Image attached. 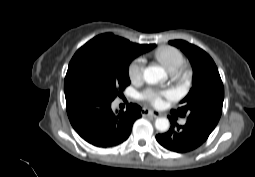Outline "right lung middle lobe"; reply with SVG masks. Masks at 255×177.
Masks as SVG:
<instances>
[{"label": "right lung middle lobe", "mask_w": 255, "mask_h": 177, "mask_svg": "<svg viewBox=\"0 0 255 177\" xmlns=\"http://www.w3.org/2000/svg\"><path fill=\"white\" fill-rule=\"evenodd\" d=\"M152 47L155 45L123 52L90 40L75 53L69 63L64 84L65 94L83 91L114 100L130 84V62Z\"/></svg>", "instance_id": "1"}]
</instances>
